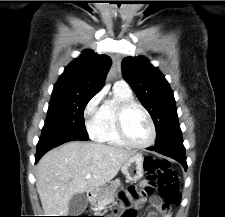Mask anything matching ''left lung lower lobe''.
<instances>
[{"label": "left lung lower lobe", "mask_w": 225, "mask_h": 217, "mask_svg": "<svg viewBox=\"0 0 225 217\" xmlns=\"http://www.w3.org/2000/svg\"><path fill=\"white\" fill-rule=\"evenodd\" d=\"M148 150L156 151L177 160L182 164L184 169L187 170L185 148L183 146L182 136L154 145L153 147L148 148Z\"/></svg>", "instance_id": "0a47b994"}]
</instances>
